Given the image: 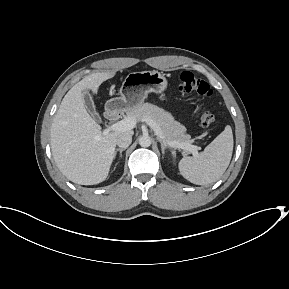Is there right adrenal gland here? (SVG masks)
<instances>
[{
  "label": "right adrenal gland",
  "instance_id": "1",
  "mask_svg": "<svg viewBox=\"0 0 289 289\" xmlns=\"http://www.w3.org/2000/svg\"><path fill=\"white\" fill-rule=\"evenodd\" d=\"M125 150H126V148H118V149H116L115 152H114V157H116L117 153L119 152V156H120V158H122V152L125 151Z\"/></svg>",
  "mask_w": 289,
  "mask_h": 289
}]
</instances>
